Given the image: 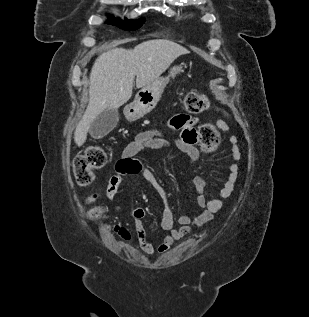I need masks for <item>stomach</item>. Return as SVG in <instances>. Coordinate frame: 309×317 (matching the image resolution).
<instances>
[{
    "mask_svg": "<svg viewBox=\"0 0 309 317\" xmlns=\"http://www.w3.org/2000/svg\"><path fill=\"white\" fill-rule=\"evenodd\" d=\"M181 72H183L182 67L175 66L170 70L169 76L158 78L156 81L139 90L134 101L124 108L126 119L135 121L149 113L160 100L161 95L169 82V78L175 77Z\"/></svg>",
    "mask_w": 309,
    "mask_h": 317,
    "instance_id": "obj_1",
    "label": "stomach"
}]
</instances>
